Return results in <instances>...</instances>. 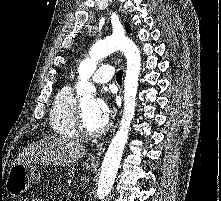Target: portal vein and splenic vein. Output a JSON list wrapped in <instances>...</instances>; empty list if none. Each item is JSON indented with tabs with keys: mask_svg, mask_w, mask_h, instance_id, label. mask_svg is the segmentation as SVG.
Returning <instances> with one entry per match:
<instances>
[{
	"mask_svg": "<svg viewBox=\"0 0 221 201\" xmlns=\"http://www.w3.org/2000/svg\"><path fill=\"white\" fill-rule=\"evenodd\" d=\"M68 196L72 197L73 196V192H68Z\"/></svg>",
	"mask_w": 221,
	"mask_h": 201,
	"instance_id": "obj_1",
	"label": "portal vein and splenic vein"
}]
</instances>
